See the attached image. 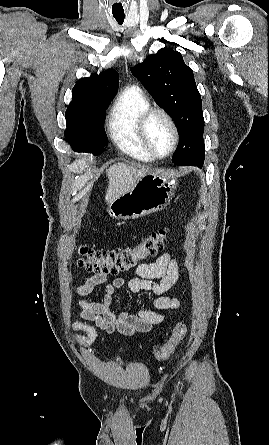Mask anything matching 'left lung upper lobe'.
Returning a JSON list of instances; mask_svg holds the SVG:
<instances>
[{
    "label": "left lung upper lobe",
    "mask_w": 269,
    "mask_h": 445,
    "mask_svg": "<svg viewBox=\"0 0 269 445\" xmlns=\"http://www.w3.org/2000/svg\"><path fill=\"white\" fill-rule=\"evenodd\" d=\"M131 72L177 126L180 142L172 162L201 167L205 158L201 95L181 53L160 49L132 67Z\"/></svg>",
    "instance_id": "left-lung-upper-lobe-1"
}]
</instances>
